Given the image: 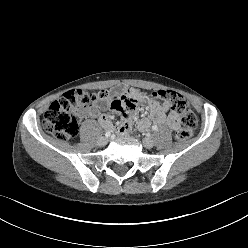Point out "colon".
<instances>
[{"mask_svg":"<svg viewBox=\"0 0 248 248\" xmlns=\"http://www.w3.org/2000/svg\"><path fill=\"white\" fill-rule=\"evenodd\" d=\"M107 96L108 92L104 90L90 92L76 89L65 92L44 114V129L61 141L74 138L78 133L79 114L94 102ZM142 98L164 101L181 115L182 127L175 133L177 139L186 140L193 134L198 122L197 116L182 95L174 91L160 90L150 95H142Z\"/></svg>","mask_w":248,"mask_h":248,"instance_id":"obj_1","label":"colon"}]
</instances>
